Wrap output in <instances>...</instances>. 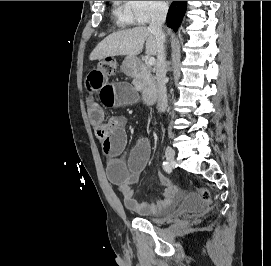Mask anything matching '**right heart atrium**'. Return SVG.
<instances>
[{
  "instance_id": "1",
  "label": "right heart atrium",
  "mask_w": 271,
  "mask_h": 266,
  "mask_svg": "<svg viewBox=\"0 0 271 266\" xmlns=\"http://www.w3.org/2000/svg\"><path fill=\"white\" fill-rule=\"evenodd\" d=\"M131 15V21L144 25L153 18L162 15L166 10L165 1H125Z\"/></svg>"
}]
</instances>
